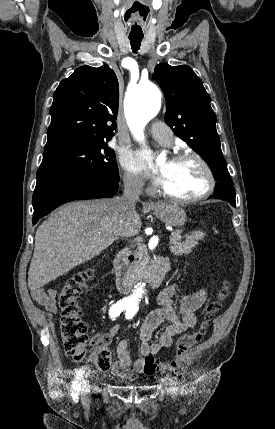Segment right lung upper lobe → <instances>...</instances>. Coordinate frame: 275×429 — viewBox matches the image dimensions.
Here are the masks:
<instances>
[{
    "instance_id": "cb5924a9",
    "label": "right lung upper lobe",
    "mask_w": 275,
    "mask_h": 429,
    "mask_svg": "<svg viewBox=\"0 0 275 429\" xmlns=\"http://www.w3.org/2000/svg\"><path fill=\"white\" fill-rule=\"evenodd\" d=\"M118 105L119 85L113 70L106 65L77 68L54 92L44 152L110 139Z\"/></svg>"
}]
</instances>
